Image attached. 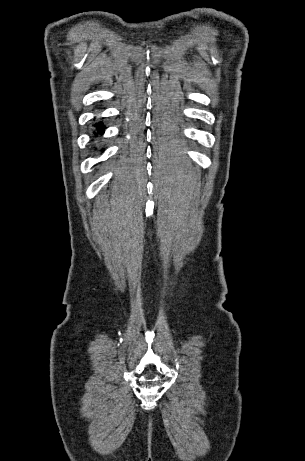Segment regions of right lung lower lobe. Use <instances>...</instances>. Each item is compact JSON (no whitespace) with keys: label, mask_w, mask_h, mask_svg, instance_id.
Masks as SVG:
<instances>
[{"label":"right lung lower lobe","mask_w":305,"mask_h":461,"mask_svg":"<svg viewBox=\"0 0 305 461\" xmlns=\"http://www.w3.org/2000/svg\"><path fill=\"white\" fill-rule=\"evenodd\" d=\"M95 126H96L97 129H98V133H99V134H102L103 131H104V125H103L101 122H99V123H96Z\"/></svg>","instance_id":"right-lung-lower-lobe-1"}]
</instances>
